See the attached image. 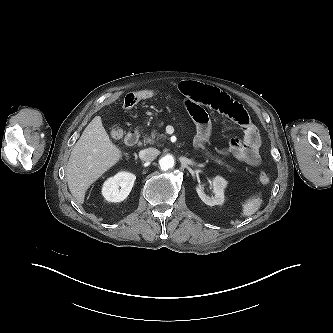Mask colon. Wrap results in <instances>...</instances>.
Returning a JSON list of instances; mask_svg holds the SVG:
<instances>
[{
	"label": "colon",
	"mask_w": 333,
	"mask_h": 333,
	"mask_svg": "<svg viewBox=\"0 0 333 333\" xmlns=\"http://www.w3.org/2000/svg\"><path fill=\"white\" fill-rule=\"evenodd\" d=\"M154 95H156V91L154 90H142L138 92L129 93L124 98L123 108L125 110H131L141 100L152 98ZM110 135L114 139H120L123 137V130L119 126L115 125L111 127ZM259 181L262 184H268L270 182V178L266 173L262 172L259 175Z\"/></svg>",
	"instance_id": "1"
}]
</instances>
